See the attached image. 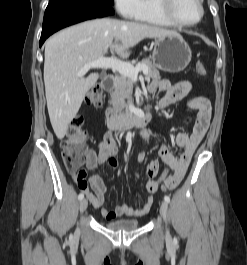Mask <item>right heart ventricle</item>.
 Wrapping results in <instances>:
<instances>
[{"instance_id":"obj_1","label":"right heart ventricle","mask_w":247,"mask_h":265,"mask_svg":"<svg viewBox=\"0 0 247 265\" xmlns=\"http://www.w3.org/2000/svg\"><path fill=\"white\" fill-rule=\"evenodd\" d=\"M135 19L153 25L174 27V25L159 10L158 0H141V9Z\"/></svg>"}]
</instances>
